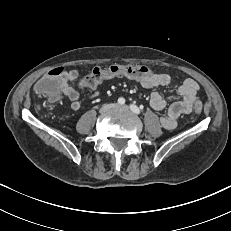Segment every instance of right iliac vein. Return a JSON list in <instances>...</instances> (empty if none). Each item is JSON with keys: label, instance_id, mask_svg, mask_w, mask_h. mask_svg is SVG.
<instances>
[{"label": "right iliac vein", "instance_id": "1", "mask_svg": "<svg viewBox=\"0 0 231 231\" xmlns=\"http://www.w3.org/2000/svg\"><path fill=\"white\" fill-rule=\"evenodd\" d=\"M114 106H115V104H106V105H104V106L101 107L100 113H105L109 109L114 108Z\"/></svg>", "mask_w": 231, "mask_h": 231}]
</instances>
